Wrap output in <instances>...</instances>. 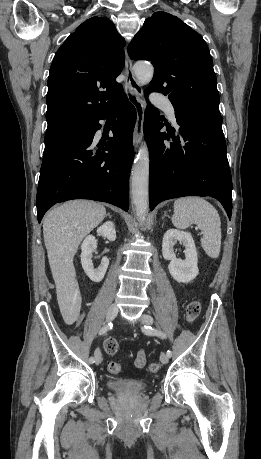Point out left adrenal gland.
I'll list each match as a JSON object with an SVG mask.
<instances>
[{
  "instance_id": "1",
  "label": "left adrenal gland",
  "mask_w": 261,
  "mask_h": 459,
  "mask_svg": "<svg viewBox=\"0 0 261 459\" xmlns=\"http://www.w3.org/2000/svg\"><path fill=\"white\" fill-rule=\"evenodd\" d=\"M166 216L169 217L166 213H164L162 219H164Z\"/></svg>"
}]
</instances>
